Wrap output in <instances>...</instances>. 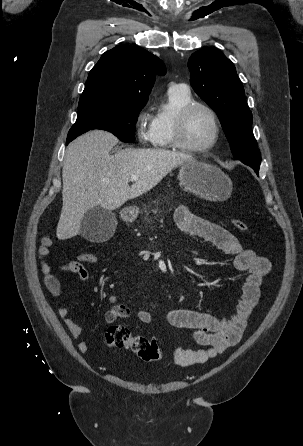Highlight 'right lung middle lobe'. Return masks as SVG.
Masks as SVG:
<instances>
[{"label":"right lung middle lobe","mask_w":303,"mask_h":446,"mask_svg":"<svg viewBox=\"0 0 303 446\" xmlns=\"http://www.w3.org/2000/svg\"><path fill=\"white\" fill-rule=\"evenodd\" d=\"M144 106L122 104H85L78 106V116L68 133L67 143L89 130L113 133L121 141H134L135 124Z\"/></svg>","instance_id":"dd1d6c3e"}]
</instances>
